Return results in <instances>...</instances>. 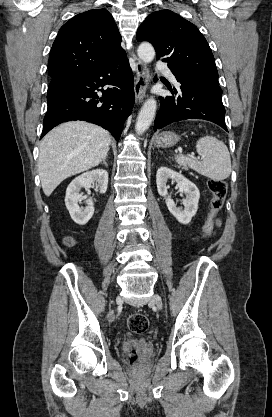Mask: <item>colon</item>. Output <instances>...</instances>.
<instances>
[{
  "label": "colon",
  "instance_id": "colon-1",
  "mask_svg": "<svg viewBox=\"0 0 272 417\" xmlns=\"http://www.w3.org/2000/svg\"><path fill=\"white\" fill-rule=\"evenodd\" d=\"M209 189L212 193V199L210 202V211L207 215V218L201 228L199 237L206 238L208 237L213 229L216 217L224 205V201L227 194V183L223 180H210ZM73 241L71 238L66 239L67 245H72ZM127 325L130 331L134 333H143L147 330L149 322L145 315L141 313H135L128 317ZM141 355L137 349H133L128 357V360L131 364L139 362Z\"/></svg>",
  "mask_w": 272,
  "mask_h": 417
}]
</instances>
